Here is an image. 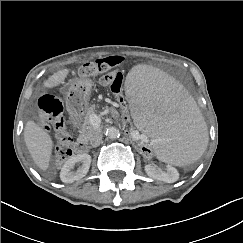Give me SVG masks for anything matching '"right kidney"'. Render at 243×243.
Returning a JSON list of instances; mask_svg holds the SVG:
<instances>
[{"label": "right kidney", "instance_id": "ca27d5eb", "mask_svg": "<svg viewBox=\"0 0 243 243\" xmlns=\"http://www.w3.org/2000/svg\"><path fill=\"white\" fill-rule=\"evenodd\" d=\"M77 163H82V166L78 168V170L73 171V168ZM90 163L91 156L86 153L78 154L69 158L63 165L60 172L62 182L72 183L86 176L90 168Z\"/></svg>", "mask_w": 243, "mask_h": 243}]
</instances>
